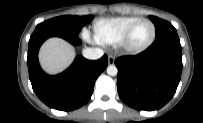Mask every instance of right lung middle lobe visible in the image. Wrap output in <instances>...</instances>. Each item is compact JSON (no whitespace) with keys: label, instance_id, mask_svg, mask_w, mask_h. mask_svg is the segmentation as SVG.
<instances>
[{"label":"right lung middle lobe","instance_id":"right-lung-middle-lobe-1","mask_svg":"<svg viewBox=\"0 0 203 123\" xmlns=\"http://www.w3.org/2000/svg\"><path fill=\"white\" fill-rule=\"evenodd\" d=\"M91 20V15L60 16L40 23L35 31L47 32L62 37H76L82 27Z\"/></svg>","mask_w":203,"mask_h":123}]
</instances>
